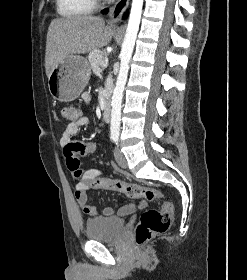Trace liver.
<instances>
[{
	"label": "liver",
	"instance_id": "1",
	"mask_svg": "<svg viewBox=\"0 0 247 280\" xmlns=\"http://www.w3.org/2000/svg\"><path fill=\"white\" fill-rule=\"evenodd\" d=\"M112 33V27L105 26L100 17L78 15L54 19L49 25L46 41L47 77L66 57L108 45Z\"/></svg>",
	"mask_w": 247,
	"mask_h": 280
}]
</instances>
